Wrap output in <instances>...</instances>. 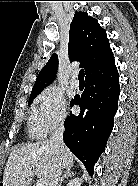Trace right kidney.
<instances>
[{
  "instance_id": "1",
  "label": "right kidney",
  "mask_w": 138,
  "mask_h": 186,
  "mask_svg": "<svg viewBox=\"0 0 138 186\" xmlns=\"http://www.w3.org/2000/svg\"><path fill=\"white\" fill-rule=\"evenodd\" d=\"M82 180L80 178H74L69 181L67 186H81Z\"/></svg>"
}]
</instances>
